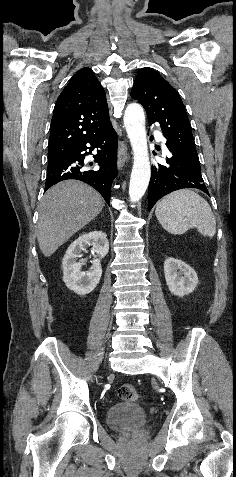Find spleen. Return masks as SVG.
Returning a JSON list of instances; mask_svg holds the SVG:
<instances>
[{"mask_svg":"<svg viewBox=\"0 0 236 477\" xmlns=\"http://www.w3.org/2000/svg\"><path fill=\"white\" fill-rule=\"evenodd\" d=\"M156 217L169 233L180 235L190 228H197L212 238L216 233V219L205 199L189 189L175 191L165 196L157 205Z\"/></svg>","mask_w":236,"mask_h":477,"instance_id":"obj_1","label":"spleen"}]
</instances>
